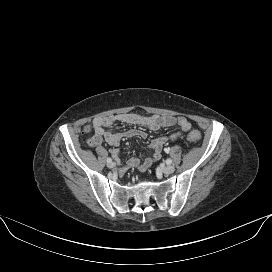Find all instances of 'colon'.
<instances>
[{"instance_id":"colon-1","label":"colon","mask_w":272,"mask_h":272,"mask_svg":"<svg viewBox=\"0 0 272 272\" xmlns=\"http://www.w3.org/2000/svg\"><path fill=\"white\" fill-rule=\"evenodd\" d=\"M90 131H91V127L89 125L85 126L84 132L85 133H90ZM187 139L190 142L197 143V142H199L201 140V134L199 132H197V131H192V132H190L188 134ZM88 144L94 145L92 138L88 140Z\"/></svg>"}]
</instances>
